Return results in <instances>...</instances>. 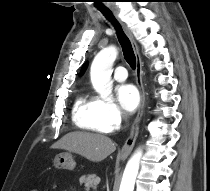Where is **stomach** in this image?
I'll return each instance as SVG.
<instances>
[{
    "label": "stomach",
    "instance_id": "stomach-1",
    "mask_svg": "<svg viewBox=\"0 0 210 191\" xmlns=\"http://www.w3.org/2000/svg\"><path fill=\"white\" fill-rule=\"evenodd\" d=\"M54 167L57 169L73 170L75 168V161L70 153L58 154L54 159Z\"/></svg>",
    "mask_w": 210,
    "mask_h": 191
}]
</instances>
